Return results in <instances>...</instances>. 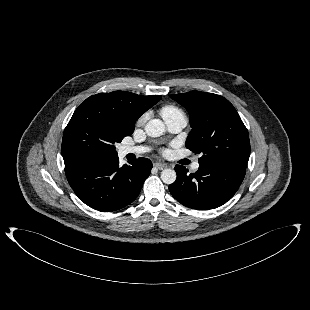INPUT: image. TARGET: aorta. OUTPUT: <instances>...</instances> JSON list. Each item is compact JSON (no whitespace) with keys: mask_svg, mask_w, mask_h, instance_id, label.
<instances>
[{"mask_svg":"<svg viewBox=\"0 0 310 310\" xmlns=\"http://www.w3.org/2000/svg\"><path fill=\"white\" fill-rule=\"evenodd\" d=\"M165 132V126L159 119H152L145 125V133L150 137H159ZM176 172L173 169H164L161 172V180L165 184H172L176 180Z\"/></svg>","mask_w":310,"mask_h":310,"instance_id":"762f6f07","label":"aorta"}]
</instances>
